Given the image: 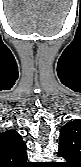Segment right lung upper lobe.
I'll list each match as a JSON object with an SVG mask.
<instances>
[{"instance_id":"right-lung-upper-lobe-1","label":"right lung upper lobe","mask_w":81,"mask_h":167,"mask_svg":"<svg viewBox=\"0 0 81 167\" xmlns=\"http://www.w3.org/2000/svg\"><path fill=\"white\" fill-rule=\"evenodd\" d=\"M26 144L15 130L0 134V167H26L29 165Z\"/></svg>"}]
</instances>
